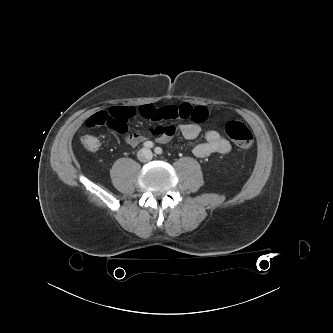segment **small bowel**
<instances>
[{"label":"small bowel","instance_id":"c3829d8e","mask_svg":"<svg viewBox=\"0 0 333 333\" xmlns=\"http://www.w3.org/2000/svg\"><path fill=\"white\" fill-rule=\"evenodd\" d=\"M127 107H112L108 110H102L92 114L87 120L86 125L89 128L101 126L100 116L108 115L110 118L107 124L110 128L125 133V140L130 146H137L146 140V137L137 132H128L126 126ZM134 110V109H133ZM135 111V110H134ZM139 114L156 123H161L173 119H184L186 123L179 126V130L188 140L196 139L201 133L200 125L208 118V110L203 106H193L189 103H183L177 106H166L155 108L152 105H143L138 108ZM177 128L172 124L157 125L150 129V132L156 137L159 143L166 144L174 137ZM231 150L230 142L216 130H208L205 134V140L198 143L193 148V154L198 158H206L211 154H227Z\"/></svg>","mask_w":333,"mask_h":333}]
</instances>
